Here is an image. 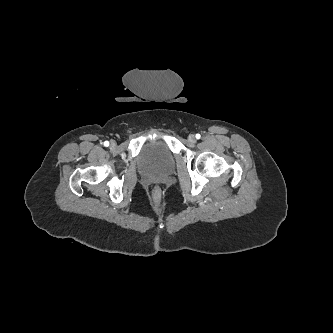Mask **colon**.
Masks as SVG:
<instances>
[{
	"instance_id": "1",
	"label": "colon",
	"mask_w": 333,
	"mask_h": 333,
	"mask_svg": "<svg viewBox=\"0 0 333 333\" xmlns=\"http://www.w3.org/2000/svg\"><path fill=\"white\" fill-rule=\"evenodd\" d=\"M154 192H155L156 194H159V193H160V189H159V188H155Z\"/></svg>"
}]
</instances>
